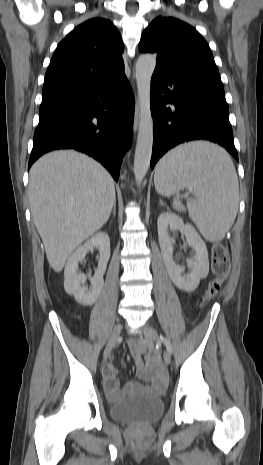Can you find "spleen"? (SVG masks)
Here are the masks:
<instances>
[{"instance_id": "1", "label": "spleen", "mask_w": 263, "mask_h": 465, "mask_svg": "<svg viewBox=\"0 0 263 465\" xmlns=\"http://www.w3.org/2000/svg\"><path fill=\"white\" fill-rule=\"evenodd\" d=\"M154 184L162 196L193 189L189 217L209 241L222 240L236 218L238 177L231 158L217 145L200 141L171 150L157 164Z\"/></svg>"}]
</instances>
